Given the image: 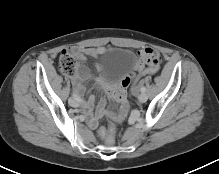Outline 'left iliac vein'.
<instances>
[{
    "label": "left iliac vein",
    "mask_w": 219,
    "mask_h": 174,
    "mask_svg": "<svg viewBox=\"0 0 219 174\" xmlns=\"http://www.w3.org/2000/svg\"><path fill=\"white\" fill-rule=\"evenodd\" d=\"M147 95L145 93H140L137 97L138 101L144 103L147 101Z\"/></svg>",
    "instance_id": "1"
}]
</instances>
